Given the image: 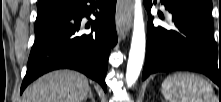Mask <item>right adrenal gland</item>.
Returning a JSON list of instances; mask_svg holds the SVG:
<instances>
[{"label":"right adrenal gland","instance_id":"2a0ac1e0","mask_svg":"<svg viewBox=\"0 0 221 102\" xmlns=\"http://www.w3.org/2000/svg\"><path fill=\"white\" fill-rule=\"evenodd\" d=\"M87 98H90L92 102H95V99H94V97H93V94H92L91 89L89 90V94H88V96L85 98V101L87 100Z\"/></svg>","mask_w":221,"mask_h":102}]
</instances>
